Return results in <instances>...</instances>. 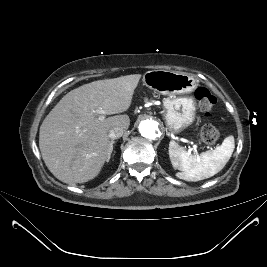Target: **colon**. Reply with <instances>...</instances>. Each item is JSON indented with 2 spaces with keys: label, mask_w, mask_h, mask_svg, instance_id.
<instances>
[{
  "label": "colon",
  "mask_w": 267,
  "mask_h": 267,
  "mask_svg": "<svg viewBox=\"0 0 267 267\" xmlns=\"http://www.w3.org/2000/svg\"><path fill=\"white\" fill-rule=\"evenodd\" d=\"M195 97L203 114L210 116L216 105L215 96L207 88L199 87L195 91ZM201 139L205 144L213 145L219 139V132L213 125L207 124L201 129Z\"/></svg>",
  "instance_id": "colon-1"
}]
</instances>
